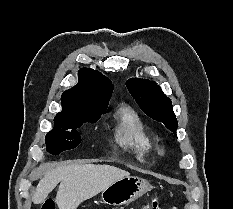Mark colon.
Returning a JSON list of instances; mask_svg holds the SVG:
<instances>
[{
    "instance_id": "5ec220e1",
    "label": "colon",
    "mask_w": 233,
    "mask_h": 209,
    "mask_svg": "<svg viewBox=\"0 0 233 209\" xmlns=\"http://www.w3.org/2000/svg\"><path fill=\"white\" fill-rule=\"evenodd\" d=\"M41 209H56L55 203L52 200H46L42 206ZM143 209H160V203L157 198H153L148 202Z\"/></svg>"
}]
</instances>
